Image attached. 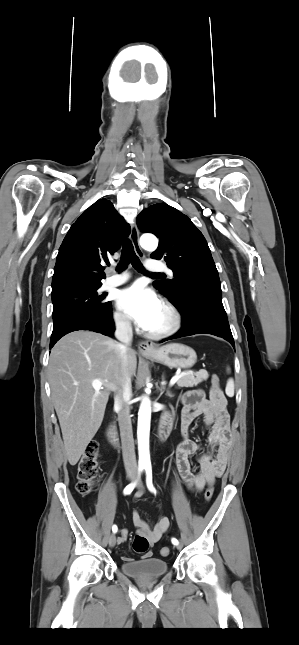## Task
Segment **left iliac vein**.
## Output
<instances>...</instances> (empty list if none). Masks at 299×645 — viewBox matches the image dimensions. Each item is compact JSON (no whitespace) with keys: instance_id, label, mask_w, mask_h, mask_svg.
I'll return each mask as SVG.
<instances>
[{"instance_id":"obj_1","label":"left iliac vein","mask_w":299,"mask_h":645,"mask_svg":"<svg viewBox=\"0 0 299 645\" xmlns=\"http://www.w3.org/2000/svg\"><path fill=\"white\" fill-rule=\"evenodd\" d=\"M137 487H138V488H142V487H143V486H142L141 481L138 483ZM176 547H177V549H181V548H182V545L178 543V544L176 545Z\"/></svg>"}]
</instances>
